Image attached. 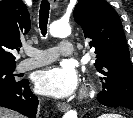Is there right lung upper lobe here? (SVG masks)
<instances>
[{"mask_svg":"<svg viewBox=\"0 0 133 118\" xmlns=\"http://www.w3.org/2000/svg\"><path fill=\"white\" fill-rule=\"evenodd\" d=\"M30 17L21 0L0 1V63H15L14 51L30 30Z\"/></svg>","mask_w":133,"mask_h":118,"instance_id":"cb5924a9","label":"right lung upper lobe"}]
</instances>
